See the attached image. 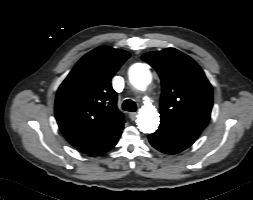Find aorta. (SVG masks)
<instances>
[{
  "mask_svg": "<svg viewBox=\"0 0 253 200\" xmlns=\"http://www.w3.org/2000/svg\"><path fill=\"white\" fill-rule=\"evenodd\" d=\"M129 79L138 90H144L151 82V73L141 63L134 64L129 71ZM159 113L150 103H147L139 112L137 125L143 133H153L159 125Z\"/></svg>",
  "mask_w": 253,
  "mask_h": 200,
  "instance_id": "1",
  "label": "aorta"
}]
</instances>
